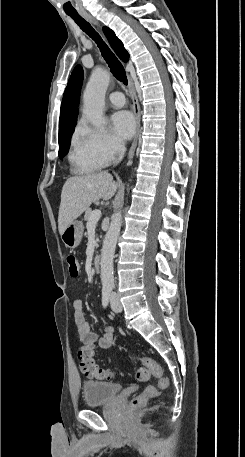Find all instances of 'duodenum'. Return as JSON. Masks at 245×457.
I'll return each mask as SVG.
<instances>
[{
    "mask_svg": "<svg viewBox=\"0 0 245 457\" xmlns=\"http://www.w3.org/2000/svg\"><path fill=\"white\" fill-rule=\"evenodd\" d=\"M92 266L94 270L98 271L100 270L101 267V256L100 255H95L92 260Z\"/></svg>",
    "mask_w": 245,
    "mask_h": 457,
    "instance_id": "obj_1",
    "label": "duodenum"
}]
</instances>
